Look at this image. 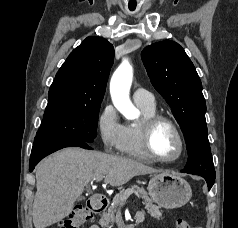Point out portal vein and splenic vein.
<instances>
[{
  "instance_id": "portal-vein-and-splenic-vein-1",
  "label": "portal vein and splenic vein",
  "mask_w": 238,
  "mask_h": 228,
  "mask_svg": "<svg viewBox=\"0 0 238 228\" xmlns=\"http://www.w3.org/2000/svg\"><path fill=\"white\" fill-rule=\"evenodd\" d=\"M103 179V177H98L96 178V181H101ZM134 193L133 190L129 189L122 197H121V200L123 201H126L127 198L132 194ZM136 195L139 197V195L136 193Z\"/></svg>"
}]
</instances>
